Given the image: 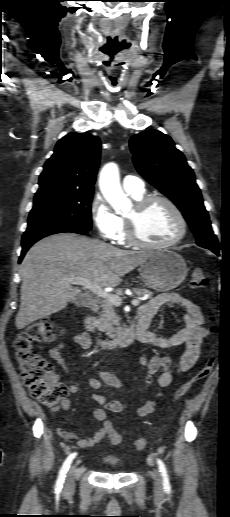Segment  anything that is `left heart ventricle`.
<instances>
[{"instance_id": "1", "label": "left heart ventricle", "mask_w": 230, "mask_h": 517, "mask_svg": "<svg viewBox=\"0 0 230 517\" xmlns=\"http://www.w3.org/2000/svg\"><path fill=\"white\" fill-rule=\"evenodd\" d=\"M134 208L127 214L133 216ZM141 238L151 243L171 240L179 231V222L173 211L163 202L150 204L137 219Z\"/></svg>"}]
</instances>
